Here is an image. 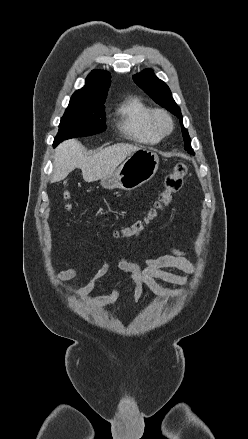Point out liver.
Masks as SVG:
<instances>
[{
	"instance_id": "liver-1",
	"label": "liver",
	"mask_w": 248,
	"mask_h": 439,
	"mask_svg": "<svg viewBox=\"0 0 248 439\" xmlns=\"http://www.w3.org/2000/svg\"><path fill=\"white\" fill-rule=\"evenodd\" d=\"M140 147L118 143L101 149L94 155L84 154V147L75 139L61 143L55 151L51 182L65 179L75 168L82 170L83 179L90 183L114 172L131 153Z\"/></svg>"
}]
</instances>
